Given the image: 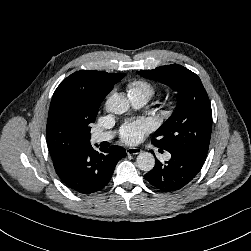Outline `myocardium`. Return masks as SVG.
Instances as JSON below:
<instances>
[{
  "label": "myocardium",
  "mask_w": 251,
  "mask_h": 251,
  "mask_svg": "<svg viewBox=\"0 0 251 251\" xmlns=\"http://www.w3.org/2000/svg\"><path fill=\"white\" fill-rule=\"evenodd\" d=\"M175 107H176V103L175 102L168 103V105L166 107V112L165 113L167 115H170L174 111Z\"/></svg>",
  "instance_id": "1"
}]
</instances>
